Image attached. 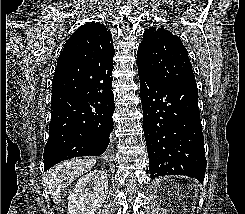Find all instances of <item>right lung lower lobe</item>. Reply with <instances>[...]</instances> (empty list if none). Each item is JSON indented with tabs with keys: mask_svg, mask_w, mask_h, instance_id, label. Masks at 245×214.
<instances>
[{
	"mask_svg": "<svg viewBox=\"0 0 245 214\" xmlns=\"http://www.w3.org/2000/svg\"><path fill=\"white\" fill-rule=\"evenodd\" d=\"M112 70L113 65L98 67L87 87L78 92L52 91L45 170L70 158L106 151L114 124Z\"/></svg>",
	"mask_w": 245,
	"mask_h": 214,
	"instance_id": "98d812e1",
	"label": "right lung lower lobe"
}]
</instances>
